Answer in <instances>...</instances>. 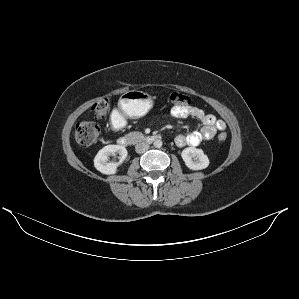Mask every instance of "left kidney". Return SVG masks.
Returning a JSON list of instances; mask_svg holds the SVG:
<instances>
[{
	"label": "left kidney",
	"mask_w": 299,
	"mask_h": 299,
	"mask_svg": "<svg viewBox=\"0 0 299 299\" xmlns=\"http://www.w3.org/2000/svg\"><path fill=\"white\" fill-rule=\"evenodd\" d=\"M181 157L185 165L191 170H202L209 166V159L202 149L185 148L181 153Z\"/></svg>",
	"instance_id": "1"
}]
</instances>
